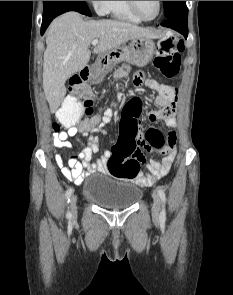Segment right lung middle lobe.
<instances>
[{
    "label": "right lung middle lobe",
    "mask_w": 233,
    "mask_h": 295,
    "mask_svg": "<svg viewBox=\"0 0 233 295\" xmlns=\"http://www.w3.org/2000/svg\"><path fill=\"white\" fill-rule=\"evenodd\" d=\"M47 2H53V1H43V3H47Z\"/></svg>",
    "instance_id": "1"
}]
</instances>
